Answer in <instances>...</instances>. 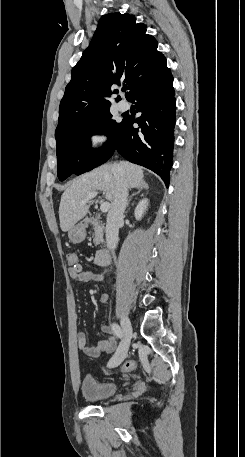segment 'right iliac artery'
Listing matches in <instances>:
<instances>
[{
	"label": "right iliac artery",
	"instance_id": "right-iliac-artery-1",
	"mask_svg": "<svg viewBox=\"0 0 245 457\" xmlns=\"http://www.w3.org/2000/svg\"><path fill=\"white\" fill-rule=\"evenodd\" d=\"M112 330H113L114 334L118 338H120V339L123 338V331H122L121 327L118 324H115V323L112 324Z\"/></svg>",
	"mask_w": 245,
	"mask_h": 457
}]
</instances>
